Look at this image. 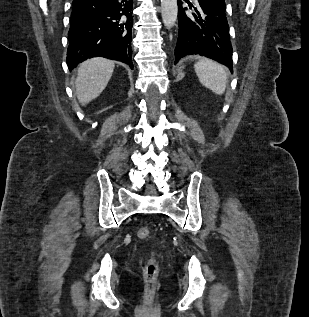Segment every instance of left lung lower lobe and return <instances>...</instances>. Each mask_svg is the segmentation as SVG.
Wrapping results in <instances>:
<instances>
[{
	"instance_id": "0a47b994",
	"label": "left lung lower lobe",
	"mask_w": 309,
	"mask_h": 317,
	"mask_svg": "<svg viewBox=\"0 0 309 317\" xmlns=\"http://www.w3.org/2000/svg\"><path fill=\"white\" fill-rule=\"evenodd\" d=\"M186 10L187 8H182V1L178 0L179 34L175 48V64L186 55L199 54L226 65L232 72L233 50L226 5L197 0L194 12Z\"/></svg>"
}]
</instances>
